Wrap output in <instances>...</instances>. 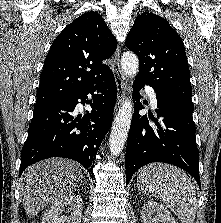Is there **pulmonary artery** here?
I'll return each mask as SVG.
<instances>
[{
	"label": "pulmonary artery",
	"mask_w": 221,
	"mask_h": 223,
	"mask_svg": "<svg viewBox=\"0 0 221 223\" xmlns=\"http://www.w3.org/2000/svg\"><path fill=\"white\" fill-rule=\"evenodd\" d=\"M145 91H146L147 96L150 99L151 106L154 109H156L157 108V98H156V93H155L154 89L151 87H147Z\"/></svg>",
	"instance_id": "obj_1"
}]
</instances>
